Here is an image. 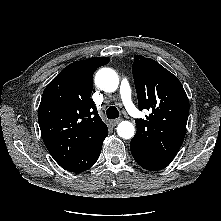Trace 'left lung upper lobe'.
I'll return each mask as SVG.
<instances>
[{
	"instance_id": "5c2ea615",
	"label": "left lung upper lobe",
	"mask_w": 221,
	"mask_h": 221,
	"mask_svg": "<svg viewBox=\"0 0 221 221\" xmlns=\"http://www.w3.org/2000/svg\"><path fill=\"white\" fill-rule=\"evenodd\" d=\"M132 72L139 109L152 113L136 120L131 144L145 156L171 162L186 133L187 95L178 78L153 59L135 55Z\"/></svg>"
}]
</instances>
